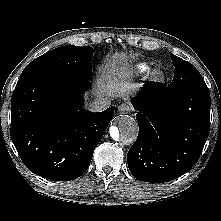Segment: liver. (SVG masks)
Returning a JSON list of instances; mask_svg holds the SVG:
<instances>
[{"label":"liver","mask_w":221,"mask_h":221,"mask_svg":"<svg viewBox=\"0 0 221 221\" xmlns=\"http://www.w3.org/2000/svg\"><path fill=\"white\" fill-rule=\"evenodd\" d=\"M132 75L133 71L127 63L125 54L115 53L97 79V87L93 94L97 99L121 97L127 100L138 87L130 81Z\"/></svg>","instance_id":"6515ba94"}]
</instances>
